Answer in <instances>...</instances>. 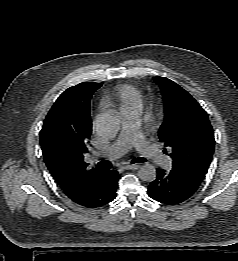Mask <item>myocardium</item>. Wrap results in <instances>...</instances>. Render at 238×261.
<instances>
[{
	"label": "myocardium",
	"mask_w": 238,
	"mask_h": 261,
	"mask_svg": "<svg viewBox=\"0 0 238 261\" xmlns=\"http://www.w3.org/2000/svg\"><path fill=\"white\" fill-rule=\"evenodd\" d=\"M163 111L162 100L158 96H152L149 99L148 107H147V116L150 121L157 120Z\"/></svg>",
	"instance_id": "myocardium-1"
}]
</instances>
